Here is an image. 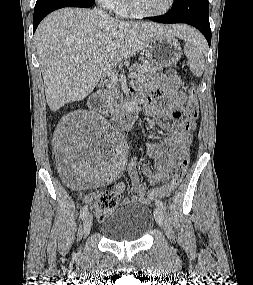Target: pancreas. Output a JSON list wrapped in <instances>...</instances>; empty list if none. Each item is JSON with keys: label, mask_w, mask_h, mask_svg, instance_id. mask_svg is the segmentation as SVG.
<instances>
[{"label": "pancreas", "mask_w": 253, "mask_h": 285, "mask_svg": "<svg viewBox=\"0 0 253 285\" xmlns=\"http://www.w3.org/2000/svg\"><path fill=\"white\" fill-rule=\"evenodd\" d=\"M131 71L137 73V77H148L153 76L156 72L161 71L162 67L155 66L150 63L144 62L142 65L135 64L130 68ZM176 73V71H173ZM100 96L104 101V105L108 111H114L117 106V100L122 98L120 94L119 84L117 81L106 80L102 89L99 92Z\"/></svg>", "instance_id": "obj_1"}]
</instances>
